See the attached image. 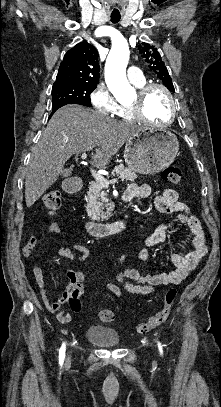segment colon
Here are the masks:
<instances>
[{"label":"colon","mask_w":221,"mask_h":407,"mask_svg":"<svg viewBox=\"0 0 221 407\" xmlns=\"http://www.w3.org/2000/svg\"><path fill=\"white\" fill-rule=\"evenodd\" d=\"M161 177L163 181L171 184H177L182 179V169L177 164H170L162 171ZM43 202L46 208L50 212H56L61 205V193L57 190H49L44 194ZM69 290L72 294V300L69 303L70 308L74 312L81 310V285L79 283H72L69 286ZM177 297V290L175 288H169L165 292L163 307L151 316L147 321L137 324L136 331L139 334H146L155 327L164 323L170 316L172 306ZM98 316L103 322H111L115 318V314L112 310L101 309L98 311Z\"/></svg>","instance_id":"colon-1"}]
</instances>
